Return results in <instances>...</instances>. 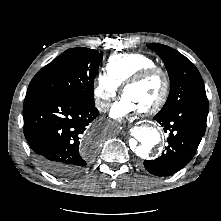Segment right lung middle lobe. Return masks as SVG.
I'll return each instance as SVG.
<instances>
[{
	"instance_id": "obj_1",
	"label": "right lung middle lobe",
	"mask_w": 221,
	"mask_h": 221,
	"mask_svg": "<svg viewBox=\"0 0 221 221\" xmlns=\"http://www.w3.org/2000/svg\"><path fill=\"white\" fill-rule=\"evenodd\" d=\"M102 55L84 47L66 50L43 67L28 90L44 89L77 102L95 105L93 86Z\"/></svg>"
}]
</instances>
